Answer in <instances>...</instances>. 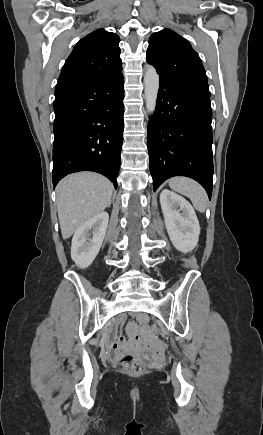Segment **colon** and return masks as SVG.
I'll list each match as a JSON object with an SVG mask.
<instances>
[{
    "mask_svg": "<svg viewBox=\"0 0 263 435\" xmlns=\"http://www.w3.org/2000/svg\"><path fill=\"white\" fill-rule=\"evenodd\" d=\"M150 328L153 332H156V334L160 335L161 331L158 329V327L155 324H151ZM156 341H161L159 338L156 339ZM162 342V341H161ZM161 354L163 356V353L161 351ZM121 367L124 372L131 374V375H138L143 372L144 370V364L139 359L135 358L131 354H127L120 360Z\"/></svg>",
    "mask_w": 263,
    "mask_h": 435,
    "instance_id": "colon-1",
    "label": "colon"
}]
</instances>
